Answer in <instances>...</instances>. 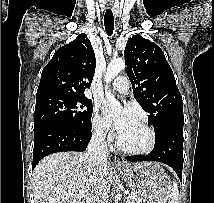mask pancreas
I'll use <instances>...</instances> for the list:
<instances>
[{"label": "pancreas", "instance_id": "obj_1", "mask_svg": "<svg viewBox=\"0 0 214 203\" xmlns=\"http://www.w3.org/2000/svg\"><path fill=\"white\" fill-rule=\"evenodd\" d=\"M130 197H131V203H138L137 197L134 193H131Z\"/></svg>", "mask_w": 214, "mask_h": 203}]
</instances>
